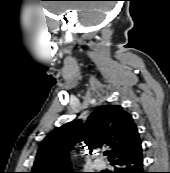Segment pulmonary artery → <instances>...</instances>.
I'll list each match as a JSON object with an SVG mask.
<instances>
[{
	"label": "pulmonary artery",
	"mask_w": 170,
	"mask_h": 173,
	"mask_svg": "<svg viewBox=\"0 0 170 173\" xmlns=\"http://www.w3.org/2000/svg\"><path fill=\"white\" fill-rule=\"evenodd\" d=\"M95 167L96 168H102L103 167V163L101 161H99V160H96L95 161Z\"/></svg>",
	"instance_id": "pulmonary-artery-1"
}]
</instances>
